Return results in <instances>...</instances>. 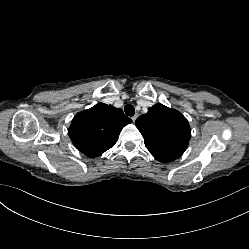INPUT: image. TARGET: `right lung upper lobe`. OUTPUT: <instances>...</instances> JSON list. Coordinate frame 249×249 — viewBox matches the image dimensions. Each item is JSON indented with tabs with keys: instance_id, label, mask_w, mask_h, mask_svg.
Returning a JSON list of instances; mask_svg holds the SVG:
<instances>
[{
	"instance_id": "obj_1",
	"label": "right lung upper lobe",
	"mask_w": 249,
	"mask_h": 249,
	"mask_svg": "<svg viewBox=\"0 0 249 249\" xmlns=\"http://www.w3.org/2000/svg\"><path fill=\"white\" fill-rule=\"evenodd\" d=\"M131 122L122 109L98 103L73 118L68 134L80 152L96 157L114 146L122 128Z\"/></svg>"
}]
</instances>
